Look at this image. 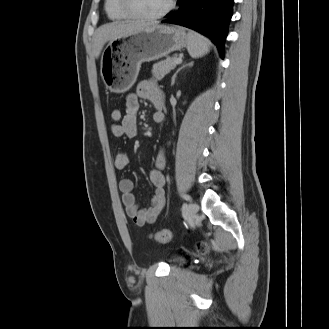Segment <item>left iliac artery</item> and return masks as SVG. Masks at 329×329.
I'll return each mask as SVG.
<instances>
[{"mask_svg": "<svg viewBox=\"0 0 329 329\" xmlns=\"http://www.w3.org/2000/svg\"><path fill=\"white\" fill-rule=\"evenodd\" d=\"M182 198L185 199V200H187V201L191 200V197L189 195H187V194H183L182 195Z\"/></svg>", "mask_w": 329, "mask_h": 329, "instance_id": "obj_1", "label": "left iliac artery"}]
</instances>
